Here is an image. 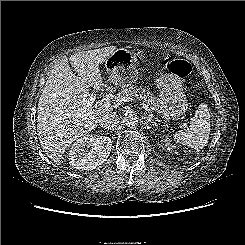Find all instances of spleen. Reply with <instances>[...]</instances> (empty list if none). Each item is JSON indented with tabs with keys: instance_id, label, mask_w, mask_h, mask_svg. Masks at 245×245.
<instances>
[{
	"instance_id": "3e777b00",
	"label": "spleen",
	"mask_w": 245,
	"mask_h": 245,
	"mask_svg": "<svg viewBox=\"0 0 245 245\" xmlns=\"http://www.w3.org/2000/svg\"><path fill=\"white\" fill-rule=\"evenodd\" d=\"M209 134L210 114L208 106L201 103L191 119L190 128L187 131L180 130L176 132L174 140L182 145L200 150L207 145Z\"/></svg>"
}]
</instances>
